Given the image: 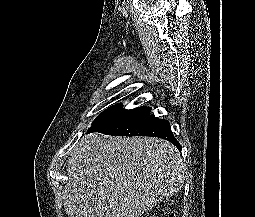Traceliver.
Returning <instances> with one entry per match:
<instances>
[{"instance_id": "obj_1", "label": "liver", "mask_w": 255, "mask_h": 217, "mask_svg": "<svg viewBox=\"0 0 255 217\" xmlns=\"http://www.w3.org/2000/svg\"><path fill=\"white\" fill-rule=\"evenodd\" d=\"M68 217H140L176 194L185 172L179 151L150 137L84 135L67 165Z\"/></svg>"}]
</instances>
